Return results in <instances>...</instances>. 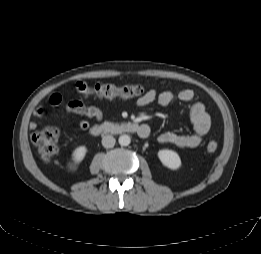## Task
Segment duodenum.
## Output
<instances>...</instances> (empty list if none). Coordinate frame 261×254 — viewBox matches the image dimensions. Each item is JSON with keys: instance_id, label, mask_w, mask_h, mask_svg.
<instances>
[{"instance_id": "1", "label": "duodenum", "mask_w": 261, "mask_h": 254, "mask_svg": "<svg viewBox=\"0 0 261 254\" xmlns=\"http://www.w3.org/2000/svg\"><path fill=\"white\" fill-rule=\"evenodd\" d=\"M148 131L147 127L139 125L135 122H125V123H103L94 125L90 129L92 135H115V134H142Z\"/></svg>"}]
</instances>
